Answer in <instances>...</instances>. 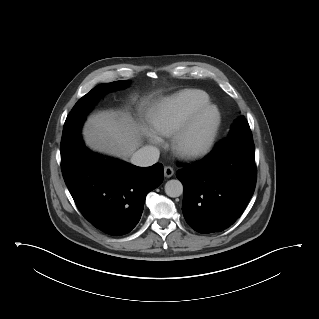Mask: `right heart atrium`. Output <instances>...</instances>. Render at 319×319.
<instances>
[{"label":"right heart atrium","instance_id":"1","mask_svg":"<svg viewBox=\"0 0 319 319\" xmlns=\"http://www.w3.org/2000/svg\"><path fill=\"white\" fill-rule=\"evenodd\" d=\"M150 141L156 145H160L161 144V139L158 137V135L154 132H151L149 135Z\"/></svg>","mask_w":319,"mask_h":319}]
</instances>
